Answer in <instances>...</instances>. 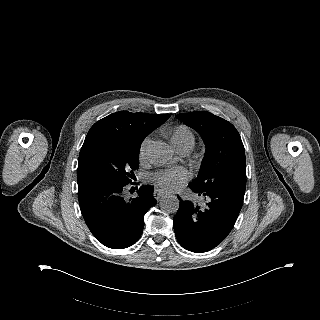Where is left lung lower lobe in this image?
I'll use <instances>...</instances> for the list:
<instances>
[{
  "label": "left lung lower lobe",
  "mask_w": 320,
  "mask_h": 320,
  "mask_svg": "<svg viewBox=\"0 0 320 320\" xmlns=\"http://www.w3.org/2000/svg\"><path fill=\"white\" fill-rule=\"evenodd\" d=\"M190 188L207 202L200 207L181 200L173 220L174 231L183 248L202 253L216 247L230 233L242 208L245 187L225 184L206 191Z\"/></svg>",
  "instance_id": "1"
}]
</instances>
